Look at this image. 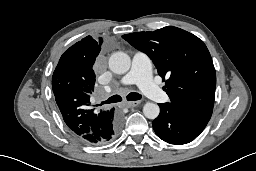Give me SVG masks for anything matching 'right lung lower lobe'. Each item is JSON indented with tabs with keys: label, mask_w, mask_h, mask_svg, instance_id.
Wrapping results in <instances>:
<instances>
[{
	"label": "right lung lower lobe",
	"mask_w": 256,
	"mask_h": 171,
	"mask_svg": "<svg viewBox=\"0 0 256 171\" xmlns=\"http://www.w3.org/2000/svg\"><path fill=\"white\" fill-rule=\"evenodd\" d=\"M112 115L103 124V128L96 134H86L79 139L87 144L99 145L104 144L113 139L119 132L121 127V116L114 111Z\"/></svg>",
	"instance_id": "98d812e1"
}]
</instances>
